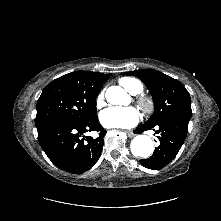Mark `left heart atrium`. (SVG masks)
Here are the masks:
<instances>
[{
    "instance_id": "1",
    "label": "left heart atrium",
    "mask_w": 221,
    "mask_h": 221,
    "mask_svg": "<svg viewBox=\"0 0 221 221\" xmlns=\"http://www.w3.org/2000/svg\"><path fill=\"white\" fill-rule=\"evenodd\" d=\"M99 120L105 128H130L140 120V113L134 107H110L102 111Z\"/></svg>"
}]
</instances>
